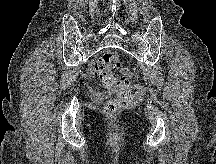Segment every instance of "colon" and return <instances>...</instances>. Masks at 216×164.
Segmentation results:
<instances>
[{"label": "colon", "instance_id": "colon-1", "mask_svg": "<svg viewBox=\"0 0 216 164\" xmlns=\"http://www.w3.org/2000/svg\"><path fill=\"white\" fill-rule=\"evenodd\" d=\"M111 68L119 70L121 75H116ZM96 69L104 86L117 95V99L109 101L105 107L108 116L114 117L140 100L143 88L133 83L131 72L122 66L116 53L102 55L96 63Z\"/></svg>", "mask_w": 216, "mask_h": 164}]
</instances>
